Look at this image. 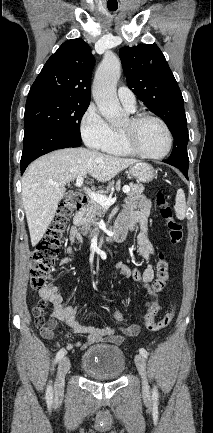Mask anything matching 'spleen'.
<instances>
[{"label":"spleen","instance_id":"spleen-1","mask_svg":"<svg viewBox=\"0 0 213 433\" xmlns=\"http://www.w3.org/2000/svg\"><path fill=\"white\" fill-rule=\"evenodd\" d=\"M174 209L176 212V217L180 220H183L186 213V200L185 193L182 189L177 190Z\"/></svg>","mask_w":213,"mask_h":433}]
</instances>
